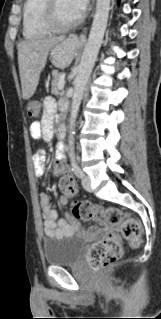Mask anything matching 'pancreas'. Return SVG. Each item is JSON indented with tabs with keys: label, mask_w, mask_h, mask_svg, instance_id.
<instances>
[{
	"label": "pancreas",
	"mask_w": 161,
	"mask_h": 319,
	"mask_svg": "<svg viewBox=\"0 0 161 319\" xmlns=\"http://www.w3.org/2000/svg\"><path fill=\"white\" fill-rule=\"evenodd\" d=\"M60 77H61L60 73H54L53 74V80H52V83H51V86H52L51 91L55 95L59 94L58 85H59Z\"/></svg>",
	"instance_id": "pancreas-1"
}]
</instances>
